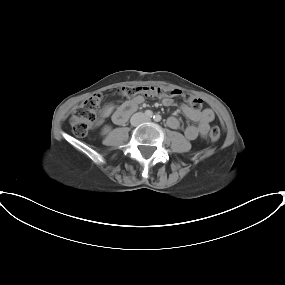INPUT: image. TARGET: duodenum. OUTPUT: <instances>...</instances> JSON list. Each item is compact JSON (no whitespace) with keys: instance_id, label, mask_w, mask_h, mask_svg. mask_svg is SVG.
Returning <instances> with one entry per match:
<instances>
[{"instance_id":"410a0bca","label":"duodenum","mask_w":285,"mask_h":285,"mask_svg":"<svg viewBox=\"0 0 285 285\" xmlns=\"http://www.w3.org/2000/svg\"><path fill=\"white\" fill-rule=\"evenodd\" d=\"M136 109V106L132 103H124L113 116V120L117 124H123L129 115Z\"/></svg>"}]
</instances>
